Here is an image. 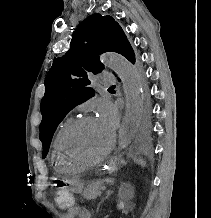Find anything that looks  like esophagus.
Here are the masks:
<instances>
[{"mask_svg": "<svg viewBox=\"0 0 211 218\" xmlns=\"http://www.w3.org/2000/svg\"><path fill=\"white\" fill-rule=\"evenodd\" d=\"M111 167H112V164L109 163V160H106V163L102 164L101 171L102 172H109Z\"/></svg>", "mask_w": 211, "mask_h": 218, "instance_id": "34e87169", "label": "esophagus"}]
</instances>
